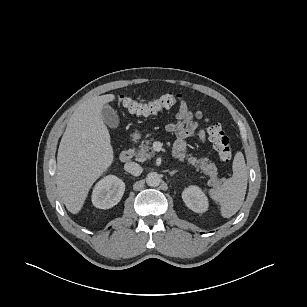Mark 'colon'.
<instances>
[{"label": "colon", "instance_id": "5ec220e1", "mask_svg": "<svg viewBox=\"0 0 307 307\" xmlns=\"http://www.w3.org/2000/svg\"><path fill=\"white\" fill-rule=\"evenodd\" d=\"M179 95L173 93L162 94L161 96L148 100L138 101L130 96L121 95L119 102L128 112L137 115H154L160 111L173 107L180 103ZM209 139L214 150L223 162H229L232 159V147L229 138L223 131L219 123L214 124L208 129Z\"/></svg>", "mask_w": 307, "mask_h": 307}]
</instances>
